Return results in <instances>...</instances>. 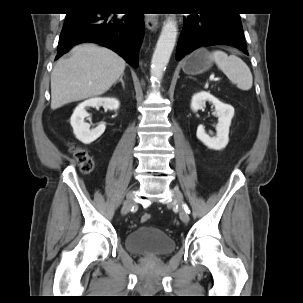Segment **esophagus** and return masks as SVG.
I'll return each mask as SVG.
<instances>
[{
	"mask_svg": "<svg viewBox=\"0 0 303 303\" xmlns=\"http://www.w3.org/2000/svg\"><path fill=\"white\" fill-rule=\"evenodd\" d=\"M145 25L151 30L155 31L159 26V20L157 15L146 14L145 16Z\"/></svg>",
	"mask_w": 303,
	"mask_h": 303,
	"instance_id": "1",
	"label": "esophagus"
}]
</instances>
